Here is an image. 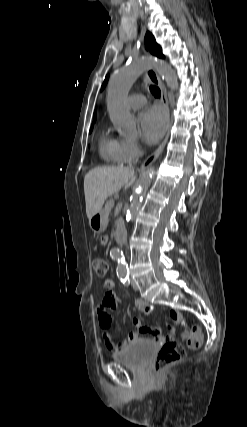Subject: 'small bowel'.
Returning a JSON list of instances; mask_svg holds the SVG:
<instances>
[{
    "label": "small bowel",
    "instance_id": "1",
    "mask_svg": "<svg viewBox=\"0 0 247 427\" xmlns=\"http://www.w3.org/2000/svg\"><path fill=\"white\" fill-rule=\"evenodd\" d=\"M104 242L105 239L102 240V243ZM113 287V280H105L104 288L106 292L101 303L97 306L98 323L100 328L104 331L103 336L105 345L109 350L116 351L136 341L139 337V333H149L157 342H168L174 340L175 333L171 325L167 324L168 333L164 335L161 328L142 326L141 321L138 318H133L132 324L137 329V331L130 332L124 342L121 345H118L115 342L113 335L109 332V328L112 324L110 311L115 310L119 304L118 297L112 290ZM135 306L137 310L143 312L144 314H150L152 312V307L144 300H137ZM170 317L174 323L181 325L184 328L183 337L186 338L188 336V329L183 315L176 310H171Z\"/></svg>",
    "mask_w": 247,
    "mask_h": 427
}]
</instances>
